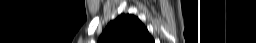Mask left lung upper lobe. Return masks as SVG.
Wrapping results in <instances>:
<instances>
[{
  "mask_svg": "<svg viewBox=\"0 0 256 43\" xmlns=\"http://www.w3.org/2000/svg\"><path fill=\"white\" fill-rule=\"evenodd\" d=\"M98 43H154V39L138 17L121 14L107 25Z\"/></svg>",
  "mask_w": 256,
  "mask_h": 43,
  "instance_id": "obj_1",
  "label": "left lung upper lobe"
}]
</instances>
